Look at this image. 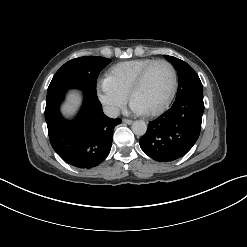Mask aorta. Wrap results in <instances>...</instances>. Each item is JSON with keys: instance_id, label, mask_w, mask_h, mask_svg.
<instances>
[{"instance_id": "obj_1", "label": "aorta", "mask_w": 247, "mask_h": 247, "mask_svg": "<svg viewBox=\"0 0 247 247\" xmlns=\"http://www.w3.org/2000/svg\"><path fill=\"white\" fill-rule=\"evenodd\" d=\"M132 131L134 132V134H136L138 136H142L147 131V125L142 120L134 121L132 124Z\"/></svg>"}]
</instances>
